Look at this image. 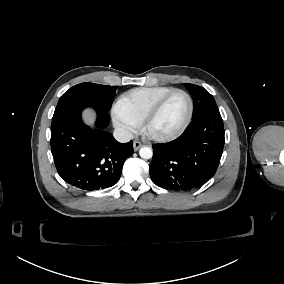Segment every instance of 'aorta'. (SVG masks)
Wrapping results in <instances>:
<instances>
[{
  "instance_id": "obj_1",
  "label": "aorta",
  "mask_w": 284,
  "mask_h": 284,
  "mask_svg": "<svg viewBox=\"0 0 284 284\" xmlns=\"http://www.w3.org/2000/svg\"><path fill=\"white\" fill-rule=\"evenodd\" d=\"M139 155L143 159H150L153 156V152L151 148L144 146L140 148Z\"/></svg>"
}]
</instances>
